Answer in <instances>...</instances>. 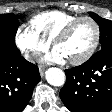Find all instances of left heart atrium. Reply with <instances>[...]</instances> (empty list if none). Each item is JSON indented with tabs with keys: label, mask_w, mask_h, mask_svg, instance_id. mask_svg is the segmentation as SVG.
<instances>
[{
	"label": "left heart atrium",
	"mask_w": 112,
	"mask_h": 112,
	"mask_svg": "<svg viewBox=\"0 0 112 112\" xmlns=\"http://www.w3.org/2000/svg\"><path fill=\"white\" fill-rule=\"evenodd\" d=\"M45 60L62 63L65 61V58L59 52L54 50L51 54L45 57Z\"/></svg>",
	"instance_id": "obj_1"
}]
</instances>
